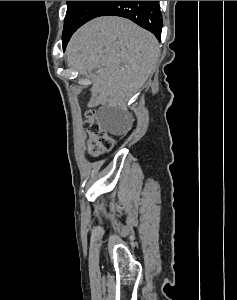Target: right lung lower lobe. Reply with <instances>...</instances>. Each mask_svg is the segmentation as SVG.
Returning a JSON list of instances; mask_svg holds the SVG:
<instances>
[{
  "label": "right lung lower lobe",
  "mask_w": 237,
  "mask_h": 300,
  "mask_svg": "<svg viewBox=\"0 0 237 300\" xmlns=\"http://www.w3.org/2000/svg\"><path fill=\"white\" fill-rule=\"evenodd\" d=\"M99 16L125 17L161 38L162 18L158 1H111Z\"/></svg>",
  "instance_id": "right-lung-lower-lobe-1"
}]
</instances>
